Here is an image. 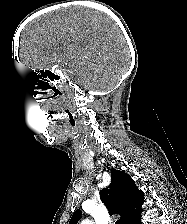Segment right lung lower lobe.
<instances>
[{
	"mask_svg": "<svg viewBox=\"0 0 187 224\" xmlns=\"http://www.w3.org/2000/svg\"><path fill=\"white\" fill-rule=\"evenodd\" d=\"M133 224H141L140 217L137 218V219L133 222Z\"/></svg>",
	"mask_w": 187,
	"mask_h": 224,
	"instance_id": "98d812e1",
	"label": "right lung lower lobe"
}]
</instances>
